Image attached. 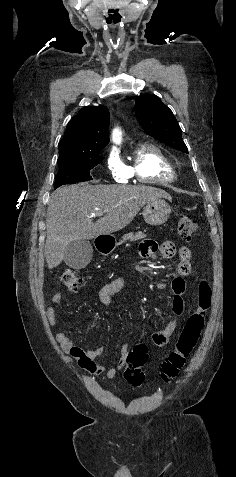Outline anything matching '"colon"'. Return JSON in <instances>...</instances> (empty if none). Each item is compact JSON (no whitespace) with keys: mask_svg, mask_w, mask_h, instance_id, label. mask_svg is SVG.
<instances>
[{"mask_svg":"<svg viewBox=\"0 0 236 477\" xmlns=\"http://www.w3.org/2000/svg\"><path fill=\"white\" fill-rule=\"evenodd\" d=\"M178 234L185 239L191 238L198 230L194 217L182 214L178 218ZM60 283L67 288L75 289L82 285V279L71 268L65 269L60 275ZM211 287L206 280L199 285V300L196 309L187 319L179 333L174 350L162 363L161 378L164 382L173 380L183 368L187 358L196 346L204 328L205 317L211 301ZM148 360V348L144 344L136 345L127 356L125 380L132 386H141L145 380L142 367Z\"/></svg>","mask_w":236,"mask_h":477,"instance_id":"colon-1","label":"colon"}]
</instances>
